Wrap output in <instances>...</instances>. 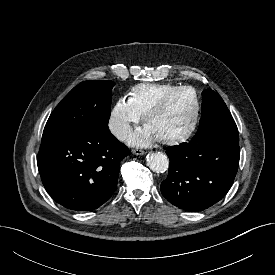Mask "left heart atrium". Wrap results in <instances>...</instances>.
<instances>
[{"label": "left heart atrium", "instance_id": "obj_1", "mask_svg": "<svg viewBox=\"0 0 275 275\" xmlns=\"http://www.w3.org/2000/svg\"><path fill=\"white\" fill-rule=\"evenodd\" d=\"M157 139L152 129L146 125L130 135L129 143L134 146H147Z\"/></svg>", "mask_w": 275, "mask_h": 275}]
</instances>
